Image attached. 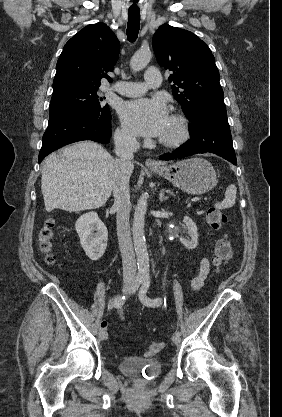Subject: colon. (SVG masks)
Here are the masks:
<instances>
[{"instance_id":"1","label":"colon","mask_w":282,"mask_h":417,"mask_svg":"<svg viewBox=\"0 0 282 417\" xmlns=\"http://www.w3.org/2000/svg\"><path fill=\"white\" fill-rule=\"evenodd\" d=\"M206 221L211 227L219 229L227 223L226 214L218 209L210 208L206 212ZM55 224L52 220H46L38 233V248L48 263L55 260ZM233 248L231 241L226 237H219L214 243L213 251V266L217 269L225 267L232 258ZM163 349V343L152 342L149 343L144 355L148 358H153Z\"/></svg>"}]
</instances>
